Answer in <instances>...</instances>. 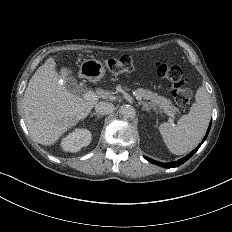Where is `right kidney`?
Segmentation results:
<instances>
[{
    "instance_id": "right-kidney-1",
    "label": "right kidney",
    "mask_w": 232,
    "mask_h": 232,
    "mask_svg": "<svg viewBox=\"0 0 232 232\" xmlns=\"http://www.w3.org/2000/svg\"><path fill=\"white\" fill-rule=\"evenodd\" d=\"M91 142V133L86 130H76L69 134L62 142V147L66 151L77 152L82 147Z\"/></svg>"
}]
</instances>
